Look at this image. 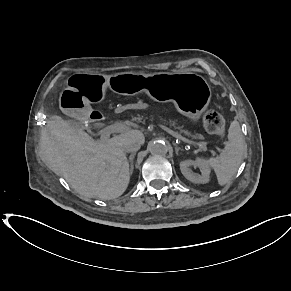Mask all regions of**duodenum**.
I'll list each match as a JSON object with an SVG mask.
<instances>
[{"instance_id":"410a0bca","label":"duodenum","mask_w":291,"mask_h":291,"mask_svg":"<svg viewBox=\"0 0 291 291\" xmlns=\"http://www.w3.org/2000/svg\"><path fill=\"white\" fill-rule=\"evenodd\" d=\"M90 120L93 123H103L104 122V116L98 112V111H93L90 115Z\"/></svg>"}]
</instances>
